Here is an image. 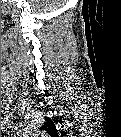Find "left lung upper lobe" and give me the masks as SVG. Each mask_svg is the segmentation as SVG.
<instances>
[{
	"mask_svg": "<svg viewBox=\"0 0 121 137\" xmlns=\"http://www.w3.org/2000/svg\"><path fill=\"white\" fill-rule=\"evenodd\" d=\"M41 129L51 134L53 131H55V126L53 121L50 118H46V122L44 126L41 127Z\"/></svg>",
	"mask_w": 121,
	"mask_h": 137,
	"instance_id": "1",
	"label": "left lung upper lobe"
}]
</instances>
